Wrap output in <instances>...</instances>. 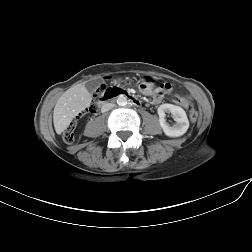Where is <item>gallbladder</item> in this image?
<instances>
[{
    "label": "gallbladder",
    "instance_id": "obj_1",
    "mask_svg": "<svg viewBox=\"0 0 252 252\" xmlns=\"http://www.w3.org/2000/svg\"><path fill=\"white\" fill-rule=\"evenodd\" d=\"M100 81L99 80H93L89 81L85 84V88L90 92L94 93L95 90L99 87Z\"/></svg>",
    "mask_w": 252,
    "mask_h": 252
}]
</instances>
